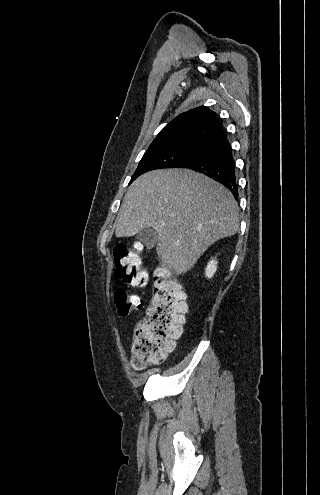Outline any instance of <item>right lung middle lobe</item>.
I'll list each match as a JSON object with an SVG mask.
<instances>
[{
    "label": "right lung middle lobe",
    "mask_w": 320,
    "mask_h": 495,
    "mask_svg": "<svg viewBox=\"0 0 320 495\" xmlns=\"http://www.w3.org/2000/svg\"><path fill=\"white\" fill-rule=\"evenodd\" d=\"M205 142L202 139H183L151 145L139 162L129 184L145 172L179 166L187 161Z\"/></svg>",
    "instance_id": "obj_1"
}]
</instances>
